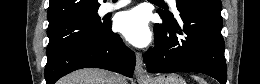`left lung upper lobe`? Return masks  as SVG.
Here are the masks:
<instances>
[{
    "instance_id": "obj_1",
    "label": "left lung upper lobe",
    "mask_w": 260,
    "mask_h": 84,
    "mask_svg": "<svg viewBox=\"0 0 260 84\" xmlns=\"http://www.w3.org/2000/svg\"><path fill=\"white\" fill-rule=\"evenodd\" d=\"M179 1L197 2V3H202V4H206V5H210V6H214V7H218V8L222 7L220 0H179ZM158 12H161L164 15L173 17L172 15L167 14L165 11L158 10Z\"/></svg>"
}]
</instances>
